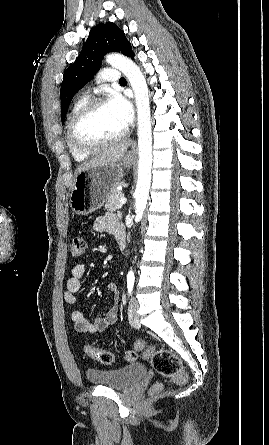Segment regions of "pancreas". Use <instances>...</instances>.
Listing matches in <instances>:
<instances>
[{
	"label": "pancreas",
	"mask_w": 269,
	"mask_h": 445,
	"mask_svg": "<svg viewBox=\"0 0 269 445\" xmlns=\"http://www.w3.org/2000/svg\"><path fill=\"white\" fill-rule=\"evenodd\" d=\"M124 197L123 193L116 188L111 190L105 204V209L109 211H116L121 207L119 199Z\"/></svg>",
	"instance_id": "1"
}]
</instances>
